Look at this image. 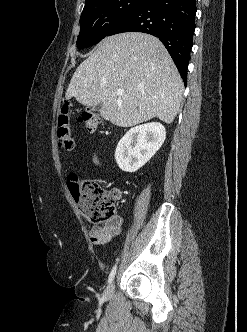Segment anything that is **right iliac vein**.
I'll return each mask as SVG.
<instances>
[{
	"instance_id": "right-iliac-vein-1",
	"label": "right iliac vein",
	"mask_w": 247,
	"mask_h": 332,
	"mask_svg": "<svg viewBox=\"0 0 247 332\" xmlns=\"http://www.w3.org/2000/svg\"><path fill=\"white\" fill-rule=\"evenodd\" d=\"M114 288H115L114 283L111 282L105 290V295L108 297L112 296Z\"/></svg>"
}]
</instances>
